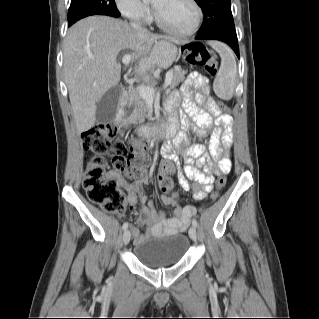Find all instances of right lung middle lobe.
<instances>
[{"label":"right lung middle lobe","instance_id":"obj_1","mask_svg":"<svg viewBox=\"0 0 319 319\" xmlns=\"http://www.w3.org/2000/svg\"><path fill=\"white\" fill-rule=\"evenodd\" d=\"M119 14L114 0H71L68 10V24L92 15L116 16Z\"/></svg>","mask_w":319,"mask_h":319}]
</instances>
